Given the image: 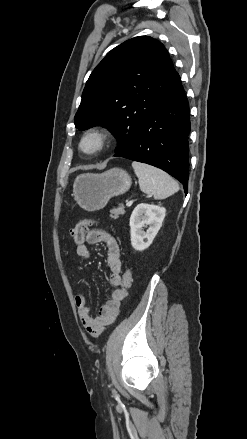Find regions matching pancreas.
I'll return each instance as SVG.
<instances>
[{
  "instance_id": "cf45deb5",
  "label": "pancreas",
  "mask_w": 247,
  "mask_h": 439,
  "mask_svg": "<svg viewBox=\"0 0 247 439\" xmlns=\"http://www.w3.org/2000/svg\"><path fill=\"white\" fill-rule=\"evenodd\" d=\"M123 214H125V208L123 205H120L119 207L110 210V217L114 219L119 218V216Z\"/></svg>"
}]
</instances>
